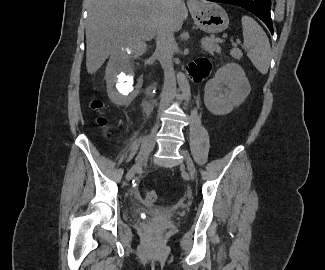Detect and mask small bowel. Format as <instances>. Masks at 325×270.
<instances>
[{
	"label": "small bowel",
	"mask_w": 325,
	"mask_h": 270,
	"mask_svg": "<svg viewBox=\"0 0 325 270\" xmlns=\"http://www.w3.org/2000/svg\"><path fill=\"white\" fill-rule=\"evenodd\" d=\"M210 70L211 64L209 60L203 57L197 58L187 67V71L194 81H200L206 78ZM136 196L139 197L138 194H136Z\"/></svg>",
	"instance_id": "1"
}]
</instances>
